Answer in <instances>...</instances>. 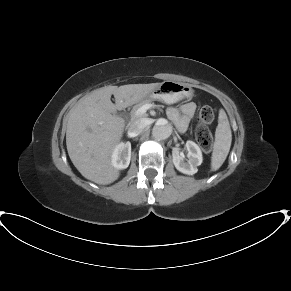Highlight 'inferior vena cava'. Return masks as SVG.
<instances>
[{
  "instance_id": "obj_1",
  "label": "inferior vena cava",
  "mask_w": 291,
  "mask_h": 291,
  "mask_svg": "<svg viewBox=\"0 0 291 291\" xmlns=\"http://www.w3.org/2000/svg\"><path fill=\"white\" fill-rule=\"evenodd\" d=\"M150 124L149 118H141L133 121L128 128V135L136 137Z\"/></svg>"
}]
</instances>
